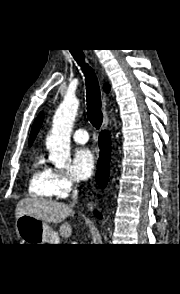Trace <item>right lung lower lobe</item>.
I'll use <instances>...</instances> for the list:
<instances>
[{
	"label": "right lung lower lobe",
	"mask_w": 180,
	"mask_h": 294,
	"mask_svg": "<svg viewBox=\"0 0 180 294\" xmlns=\"http://www.w3.org/2000/svg\"><path fill=\"white\" fill-rule=\"evenodd\" d=\"M99 146L100 158L97 165L96 181L101 188H104L108 182L111 155L110 135L107 131H102L100 133ZM94 214L98 218H102V215L97 211H94Z\"/></svg>",
	"instance_id": "right-lung-lower-lobe-1"
}]
</instances>
